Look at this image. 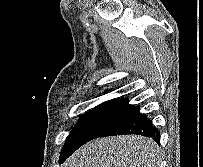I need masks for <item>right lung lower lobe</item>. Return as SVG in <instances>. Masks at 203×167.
I'll use <instances>...</instances> for the list:
<instances>
[{
	"label": "right lung lower lobe",
	"instance_id": "obj_1",
	"mask_svg": "<svg viewBox=\"0 0 203 167\" xmlns=\"http://www.w3.org/2000/svg\"><path fill=\"white\" fill-rule=\"evenodd\" d=\"M126 134L151 137L157 143L160 142L159 130L153 126L150 119L139 113V106H133L120 121L99 137ZM70 155L71 153L63 147L60 154V163L64 162Z\"/></svg>",
	"mask_w": 203,
	"mask_h": 167
}]
</instances>
